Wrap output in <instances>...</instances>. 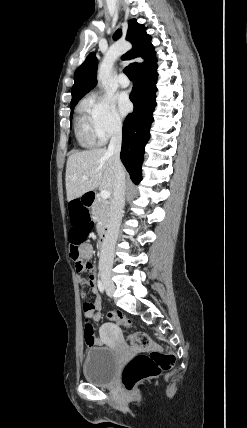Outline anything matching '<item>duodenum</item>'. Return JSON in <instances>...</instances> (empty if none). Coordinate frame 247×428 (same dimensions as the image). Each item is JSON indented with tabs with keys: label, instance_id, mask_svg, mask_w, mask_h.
I'll use <instances>...</instances> for the list:
<instances>
[{
	"label": "duodenum",
	"instance_id": "410a0bca",
	"mask_svg": "<svg viewBox=\"0 0 247 428\" xmlns=\"http://www.w3.org/2000/svg\"><path fill=\"white\" fill-rule=\"evenodd\" d=\"M94 200V193L92 192H88L85 194V204H92ZM106 243H107V233L103 232L98 240V249L99 251H104L105 247H106Z\"/></svg>",
	"mask_w": 247,
	"mask_h": 428
}]
</instances>
